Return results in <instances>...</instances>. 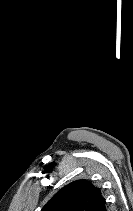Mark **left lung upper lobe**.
<instances>
[{
    "label": "left lung upper lobe",
    "mask_w": 133,
    "mask_h": 211,
    "mask_svg": "<svg viewBox=\"0 0 133 211\" xmlns=\"http://www.w3.org/2000/svg\"><path fill=\"white\" fill-rule=\"evenodd\" d=\"M104 203L99 188L87 180H77L59 190L41 211H97Z\"/></svg>",
    "instance_id": "left-lung-upper-lobe-1"
}]
</instances>
